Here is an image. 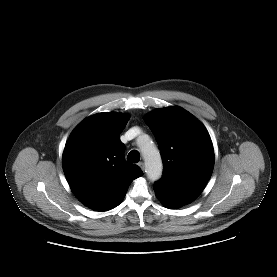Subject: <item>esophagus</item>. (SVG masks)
Segmentation results:
<instances>
[{
	"label": "esophagus",
	"mask_w": 277,
	"mask_h": 277,
	"mask_svg": "<svg viewBox=\"0 0 277 277\" xmlns=\"http://www.w3.org/2000/svg\"><path fill=\"white\" fill-rule=\"evenodd\" d=\"M138 165H139V167L141 168L142 171L145 170V165H144L143 162H139Z\"/></svg>",
	"instance_id": "esophagus-1"
}]
</instances>
